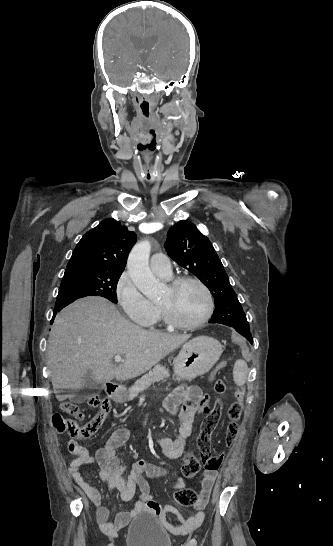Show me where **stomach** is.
I'll return each mask as SVG.
<instances>
[{
  "label": "stomach",
  "mask_w": 333,
  "mask_h": 546,
  "mask_svg": "<svg viewBox=\"0 0 333 546\" xmlns=\"http://www.w3.org/2000/svg\"><path fill=\"white\" fill-rule=\"evenodd\" d=\"M222 346L213 337L201 335L185 343L174 360V375L177 380L191 381L207 373L219 360ZM115 399H125V391L116 393Z\"/></svg>",
  "instance_id": "obj_1"
}]
</instances>
